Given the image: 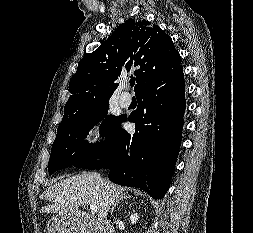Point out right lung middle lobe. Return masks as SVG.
Returning <instances> with one entry per match:
<instances>
[{
  "label": "right lung middle lobe",
  "instance_id": "dd1d6c3e",
  "mask_svg": "<svg viewBox=\"0 0 253 233\" xmlns=\"http://www.w3.org/2000/svg\"><path fill=\"white\" fill-rule=\"evenodd\" d=\"M109 103L103 102L63 118L52 145L48 171L53 172L88 160L100 153L106 146L121 116L107 115ZM102 121L101 136L106 140L100 144H89L85 140L90 129Z\"/></svg>",
  "mask_w": 253,
  "mask_h": 233
}]
</instances>
